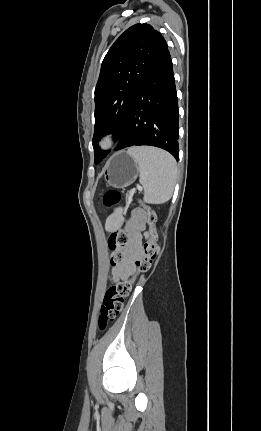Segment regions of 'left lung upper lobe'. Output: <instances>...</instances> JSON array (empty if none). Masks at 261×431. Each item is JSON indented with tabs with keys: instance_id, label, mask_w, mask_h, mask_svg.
Wrapping results in <instances>:
<instances>
[{
	"instance_id": "1",
	"label": "left lung upper lobe",
	"mask_w": 261,
	"mask_h": 431,
	"mask_svg": "<svg viewBox=\"0 0 261 431\" xmlns=\"http://www.w3.org/2000/svg\"><path fill=\"white\" fill-rule=\"evenodd\" d=\"M167 48L163 36L152 26L135 24L106 54L95 88V163L108 154L97 148L99 139L107 132L120 138L136 93Z\"/></svg>"
}]
</instances>
